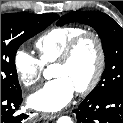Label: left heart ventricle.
Returning <instances> with one entry per match:
<instances>
[{"instance_id": "1", "label": "left heart ventricle", "mask_w": 123, "mask_h": 123, "mask_svg": "<svg viewBox=\"0 0 123 123\" xmlns=\"http://www.w3.org/2000/svg\"><path fill=\"white\" fill-rule=\"evenodd\" d=\"M97 49L92 39H85L69 63L55 65L53 68L54 77L67 78L75 89L88 83L97 66Z\"/></svg>"}]
</instances>
